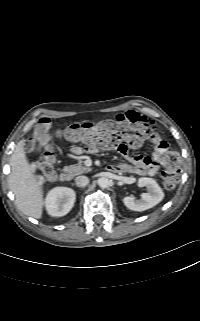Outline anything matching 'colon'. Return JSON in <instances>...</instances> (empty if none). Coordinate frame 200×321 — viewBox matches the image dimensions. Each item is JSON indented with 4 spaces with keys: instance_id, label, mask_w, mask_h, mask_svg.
<instances>
[{
    "instance_id": "obj_1",
    "label": "colon",
    "mask_w": 200,
    "mask_h": 321,
    "mask_svg": "<svg viewBox=\"0 0 200 321\" xmlns=\"http://www.w3.org/2000/svg\"><path fill=\"white\" fill-rule=\"evenodd\" d=\"M69 141L83 144L88 148L103 147L117 149L124 153L128 148H138L145 142L151 146H163V139L152 126L142 118H126L117 116L95 123L73 124L60 132ZM30 150L44 148V153L38 162V169L43 177L53 178L55 175V156L51 143V121L41 119L35 127L33 135L27 141ZM162 181L166 189L176 187L180 177L179 158L174 153L164 157Z\"/></svg>"
}]
</instances>
